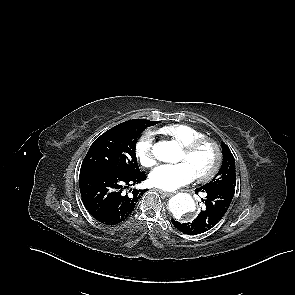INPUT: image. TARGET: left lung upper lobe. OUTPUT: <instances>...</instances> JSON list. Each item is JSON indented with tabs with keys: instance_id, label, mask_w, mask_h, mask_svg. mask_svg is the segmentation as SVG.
I'll list each match as a JSON object with an SVG mask.
<instances>
[{
	"instance_id": "left-lung-upper-lobe-1",
	"label": "left lung upper lobe",
	"mask_w": 295,
	"mask_h": 295,
	"mask_svg": "<svg viewBox=\"0 0 295 295\" xmlns=\"http://www.w3.org/2000/svg\"><path fill=\"white\" fill-rule=\"evenodd\" d=\"M223 162L217 175L205 184V187H230L235 188L236 173H235V160L229 147L222 142Z\"/></svg>"
}]
</instances>
